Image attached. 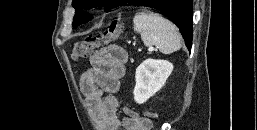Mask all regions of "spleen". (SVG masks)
<instances>
[{
  "instance_id": "1",
  "label": "spleen",
  "mask_w": 257,
  "mask_h": 130,
  "mask_svg": "<svg viewBox=\"0 0 257 130\" xmlns=\"http://www.w3.org/2000/svg\"><path fill=\"white\" fill-rule=\"evenodd\" d=\"M134 31L141 34L147 47L155 46L163 54H171L182 47L178 28L157 13L139 12L133 19Z\"/></svg>"
}]
</instances>
